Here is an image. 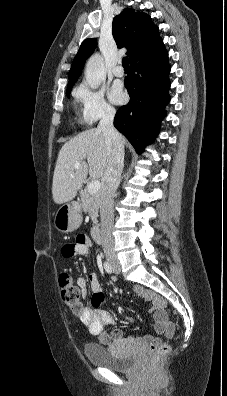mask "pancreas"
<instances>
[{
    "label": "pancreas",
    "instance_id": "cf45deb5",
    "mask_svg": "<svg viewBox=\"0 0 227 396\" xmlns=\"http://www.w3.org/2000/svg\"><path fill=\"white\" fill-rule=\"evenodd\" d=\"M100 192L90 193L88 188L81 192L82 209L88 213L93 224L98 223V211L100 207Z\"/></svg>",
    "mask_w": 227,
    "mask_h": 396
}]
</instances>
